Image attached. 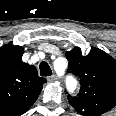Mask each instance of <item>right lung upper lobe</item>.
Listing matches in <instances>:
<instances>
[{"label": "right lung upper lobe", "mask_w": 116, "mask_h": 116, "mask_svg": "<svg viewBox=\"0 0 116 116\" xmlns=\"http://www.w3.org/2000/svg\"><path fill=\"white\" fill-rule=\"evenodd\" d=\"M21 46L0 48V116H20L37 100L46 79L22 61Z\"/></svg>", "instance_id": "obj_1"}]
</instances>
